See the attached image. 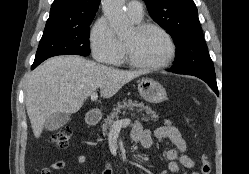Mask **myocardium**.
I'll list each match as a JSON object with an SVG mask.
<instances>
[{
	"label": "myocardium",
	"mask_w": 249,
	"mask_h": 174,
	"mask_svg": "<svg viewBox=\"0 0 249 174\" xmlns=\"http://www.w3.org/2000/svg\"><path fill=\"white\" fill-rule=\"evenodd\" d=\"M135 29L140 34L146 32L148 30H152V29L159 31L160 33H162L166 37L167 41L169 42L171 52L165 61H163L161 63H157V64H149V63H143V62L136 60L128 52L126 46L124 45V59L129 65H131L135 68H139V69L158 70V69H162V68L169 66L174 61V59L176 57V53H177L176 43H175L173 37L171 36V34L164 27H162L156 23L146 22V23L138 24L135 27Z\"/></svg>",
	"instance_id": "1"
}]
</instances>
